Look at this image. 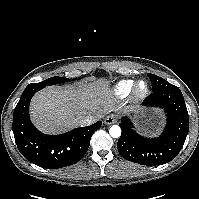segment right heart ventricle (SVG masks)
I'll return each mask as SVG.
<instances>
[{
    "mask_svg": "<svg viewBox=\"0 0 199 199\" xmlns=\"http://www.w3.org/2000/svg\"><path fill=\"white\" fill-rule=\"evenodd\" d=\"M133 86V80H121L117 82L110 92L111 98L113 100H122L126 98L132 92Z\"/></svg>",
    "mask_w": 199,
    "mask_h": 199,
    "instance_id": "e07e8e85",
    "label": "right heart ventricle"
}]
</instances>
